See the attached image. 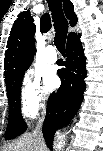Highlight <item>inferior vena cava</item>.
<instances>
[{
    "mask_svg": "<svg viewBox=\"0 0 103 151\" xmlns=\"http://www.w3.org/2000/svg\"><path fill=\"white\" fill-rule=\"evenodd\" d=\"M42 116H44V112H42ZM44 121V117L39 118V122H38V129L40 130V128L42 127V123ZM36 133L40 134L38 131H36Z\"/></svg>",
    "mask_w": 103,
    "mask_h": 151,
    "instance_id": "inferior-vena-cava-1",
    "label": "inferior vena cava"
}]
</instances>
